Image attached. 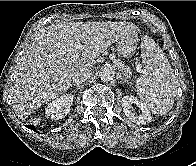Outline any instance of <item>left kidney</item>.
Listing matches in <instances>:
<instances>
[{"label": "left kidney", "mask_w": 196, "mask_h": 166, "mask_svg": "<svg viewBox=\"0 0 196 166\" xmlns=\"http://www.w3.org/2000/svg\"><path fill=\"white\" fill-rule=\"evenodd\" d=\"M121 104L123 106V111L125 115L133 122L136 124H141L144 125L146 123L151 122L152 117L151 114L147 108V106L140 102L138 98L134 96H125L122 98ZM132 104L137 105V107L140 108L141 114L140 115H135V113L131 112Z\"/></svg>", "instance_id": "1"}]
</instances>
